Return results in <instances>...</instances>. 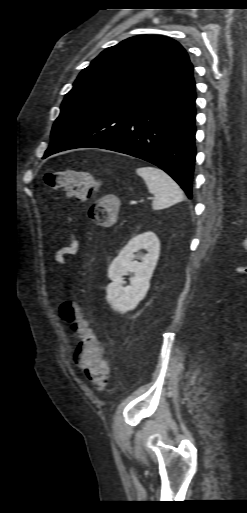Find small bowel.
Here are the masks:
<instances>
[{"label": "small bowel", "mask_w": 247, "mask_h": 513, "mask_svg": "<svg viewBox=\"0 0 247 513\" xmlns=\"http://www.w3.org/2000/svg\"><path fill=\"white\" fill-rule=\"evenodd\" d=\"M78 251V241L75 238H71L68 245L60 247L54 254V260L58 265H65L66 259L73 256ZM71 361L74 363L71 359Z\"/></svg>", "instance_id": "small-bowel-1"}]
</instances>
